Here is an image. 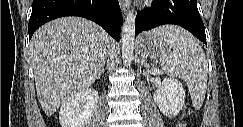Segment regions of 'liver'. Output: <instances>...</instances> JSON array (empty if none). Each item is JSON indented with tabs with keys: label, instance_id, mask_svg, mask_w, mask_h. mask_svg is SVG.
Listing matches in <instances>:
<instances>
[{
	"label": "liver",
	"instance_id": "obj_1",
	"mask_svg": "<svg viewBox=\"0 0 243 127\" xmlns=\"http://www.w3.org/2000/svg\"><path fill=\"white\" fill-rule=\"evenodd\" d=\"M110 42L99 25L73 16L53 20L34 33L30 56L38 100L47 116L94 83Z\"/></svg>",
	"mask_w": 243,
	"mask_h": 127
}]
</instances>
